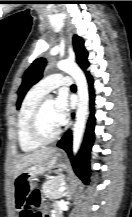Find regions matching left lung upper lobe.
<instances>
[{
  "label": "left lung upper lobe",
  "mask_w": 132,
  "mask_h": 217,
  "mask_svg": "<svg viewBox=\"0 0 132 217\" xmlns=\"http://www.w3.org/2000/svg\"><path fill=\"white\" fill-rule=\"evenodd\" d=\"M73 44L76 53V60L81 66V68L85 70L89 66V63L87 61L88 53L84 48V41L82 40V38L75 35L73 38ZM45 65L46 60L44 58H38L26 70L23 76V82L18 90L19 98L17 101V108L20 107L22 99L28 89L41 79Z\"/></svg>",
  "instance_id": "1"
}]
</instances>
